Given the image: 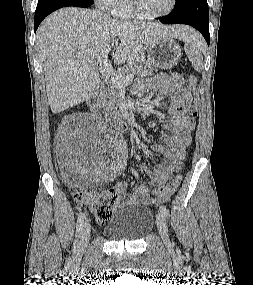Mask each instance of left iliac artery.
Masks as SVG:
<instances>
[{"label":"left iliac artery","mask_w":253,"mask_h":285,"mask_svg":"<svg viewBox=\"0 0 253 285\" xmlns=\"http://www.w3.org/2000/svg\"><path fill=\"white\" fill-rule=\"evenodd\" d=\"M160 211L165 218H169V210L165 206H160Z\"/></svg>","instance_id":"1"}]
</instances>
